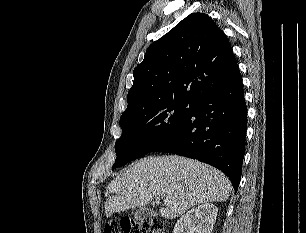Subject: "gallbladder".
<instances>
[{"instance_id":"obj_1","label":"gallbladder","mask_w":306,"mask_h":233,"mask_svg":"<svg viewBox=\"0 0 306 233\" xmlns=\"http://www.w3.org/2000/svg\"><path fill=\"white\" fill-rule=\"evenodd\" d=\"M151 214V211L149 209H146L144 207L139 208L138 210L134 211L132 213L133 218L136 222L143 221Z\"/></svg>"}]
</instances>
